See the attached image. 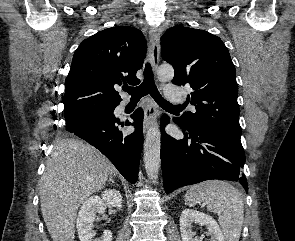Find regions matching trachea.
Returning <instances> with one entry per match:
<instances>
[{"label":"trachea","instance_id":"obj_1","mask_svg":"<svg viewBox=\"0 0 295 241\" xmlns=\"http://www.w3.org/2000/svg\"><path fill=\"white\" fill-rule=\"evenodd\" d=\"M122 89L131 95V100H140L143 96L150 94L152 98L162 107L181 108V105H173L166 101L159 93L153 79L152 68L149 63L144 70V80L137 87L123 86Z\"/></svg>","mask_w":295,"mask_h":241}]
</instances>
